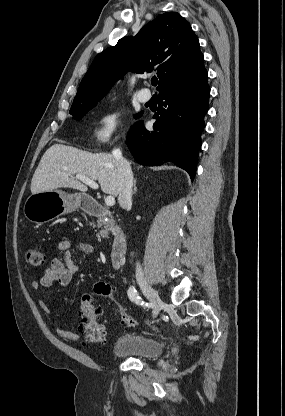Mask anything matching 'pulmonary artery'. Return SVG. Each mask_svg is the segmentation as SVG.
<instances>
[{"mask_svg": "<svg viewBox=\"0 0 285 416\" xmlns=\"http://www.w3.org/2000/svg\"><path fill=\"white\" fill-rule=\"evenodd\" d=\"M138 99L142 103H146L151 99V94H150L149 89L147 87H140L138 89Z\"/></svg>", "mask_w": 285, "mask_h": 416, "instance_id": "1", "label": "pulmonary artery"}]
</instances>
